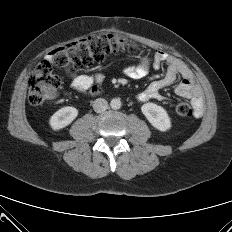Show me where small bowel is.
I'll return each instance as SVG.
<instances>
[{
    "mask_svg": "<svg viewBox=\"0 0 232 232\" xmlns=\"http://www.w3.org/2000/svg\"><path fill=\"white\" fill-rule=\"evenodd\" d=\"M164 64L167 65L165 75L150 83L145 90L138 94L137 99L139 101L162 99L161 91L171 86L177 77H181V81L175 87V93L182 98L189 99L193 105L195 116H201L204 108L201 90L194 81L192 70L180 58L158 51L152 60L144 57L140 61L128 65L124 73L130 79L140 80L148 74L151 67L159 69ZM67 76L71 89L81 94L97 89L104 79L102 73L71 72Z\"/></svg>",
    "mask_w": 232,
    "mask_h": 232,
    "instance_id": "1",
    "label": "small bowel"
}]
</instances>
